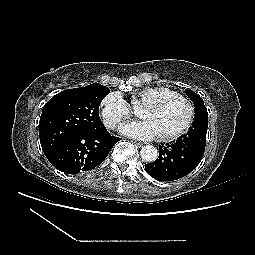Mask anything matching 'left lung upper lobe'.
I'll return each instance as SVG.
<instances>
[{
	"instance_id": "1",
	"label": "left lung upper lobe",
	"mask_w": 255,
	"mask_h": 255,
	"mask_svg": "<svg viewBox=\"0 0 255 255\" xmlns=\"http://www.w3.org/2000/svg\"><path fill=\"white\" fill-rule=\"evenodd\" d=\"M188 97L192 100L195 106V116L193 125L190 128L189 132L195 129L206 128L208 127V112L204 105L203 99L196 93L191 91H186ZM188 132V133H189Z\"/></svg>"
}]
</instances>
